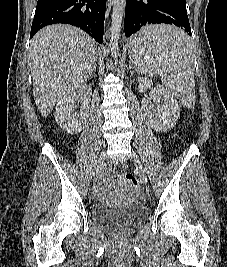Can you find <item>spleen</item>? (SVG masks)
<instances>
[{
	"label": "spleen",
	"instance_id": "spleen-1",
	"mask_svg": "<svg viewBox=\"0 0 227 267\" xmlns=\"http://www.w3.org/2000/svg\"><path fill=\"white\" fill-rule=\"evenodd\" d=\"M129 42V63H135L140 76L161 77L172 95L191 106L195 98V56L184 31L167 22H156L135 31Z\"/></svg>",
	"mask_w": 227,
	"mask_h": 267
}]
</instances>
